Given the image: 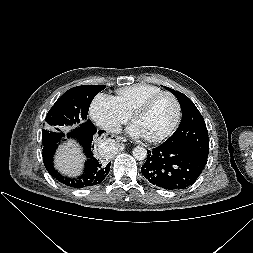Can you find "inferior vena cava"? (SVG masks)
Here are the masks:
<instances>
[{
	"label": "inferior vena cava",
	"instance_id": "obj_1",
	"mask_svg": "<svg viewBox=\"0 0 253 253\" xmlns=\"http://www.w3.org/2000/svg\"><path fill=\"white\" fill-rule=\"evenodd\" d=\"M105 129L111 133H120L122 131L121 125L117 122H108L105 125Z\"/></svg>",
	"mask_w": 253,
	"mask_h": 253
}]
</instances>
